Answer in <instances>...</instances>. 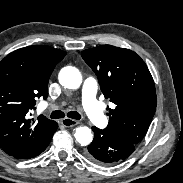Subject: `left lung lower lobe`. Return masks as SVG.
Segmentation results:
<instances>
[{
  "mask_svg": "<svg viewBox=\"0 0 183 183\" xmlns=\"http://www.w3.org/2000/svg\"><path fill=\"white\" fill-rule=\"evenodd\" d=\"M94 139L85 151L91 161L101 165H111L129 157L135 150L136 144L122 138L106 129L92 127Z\"/></svg>",
  "mask_w": 183,
  "mask_h": 183,
  "instance_id": "0a47b994",
  "label": "left lung lower lobe"
}]
</instances>
